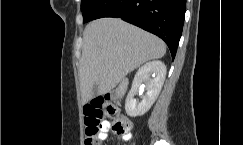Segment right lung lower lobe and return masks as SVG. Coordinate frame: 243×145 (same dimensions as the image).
Masks as SVG:
<instances>
[{
	"label": "right lung lower lobe",
	"instance_id": "98d812e1",
	"mask_svg": "<svg viewBox=\"0 0 243 145\" xmlns=\"http://www.w3.org/2000/svg\"><path fill=\"white\" fill-rule=\"evenodd\" d=\"M186 0H93L83 11L84 22L101 17L121 18L160 38L174 59L182 34Z\"/></svg>",
	"mask_w": 243,
	"mask_h": 145
}]
</instances>
